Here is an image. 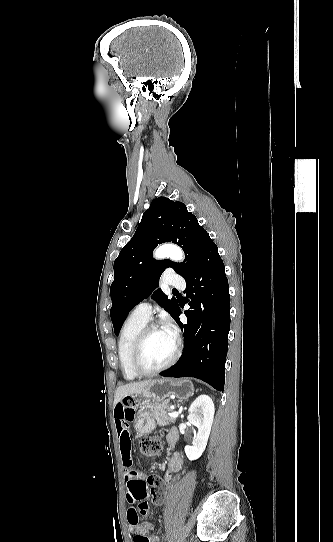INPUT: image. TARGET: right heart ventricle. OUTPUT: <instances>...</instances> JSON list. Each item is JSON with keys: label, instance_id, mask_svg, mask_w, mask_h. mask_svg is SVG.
Returning a JSON list of instances; mask_svg holds the SVG:
<instances>
[{"label": "right heart ventricle", "instance_id": "obj_1", "mask_svg": "<svg viewBox=\"0 0 333 542\" xmlns=\"http://www.w3.org/2000/svg\"><path fill=\"white\" fill-rule=\"evenodd\" d=\"M146 324V321L129 317L120 332L118 341L119 365L123 377L127 380H133L138 377L131 368L130 353L135 339Z\"/></svg>", "mask_w": 333, "mask_h": 542}]
</instances>
